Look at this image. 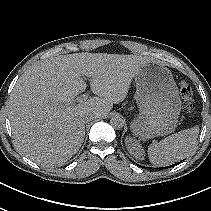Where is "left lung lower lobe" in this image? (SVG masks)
I'll use <instances>...</instances> for the list:
<instances>
[{"label": "left lung lower lobe", "instance_id": "0a47b994", "mask_svg": "<svg viewBox=\"0 0 211 211\" xmlns=\"http://www.w3.org/2000/svg\"><path fill=\"white\" fill-rule=\"evenodd\" d=\"M177 164H178V163H177ZM174 165H175V164H174ZM174 165H172V166H174ZM172 166H171V167H172ZM169 167H170V166H168V167H162L161 169H163V168H164V169H167V168H169Z\"/></svg>", "mask_w": 211, "mask_h": 211}]
</instances>
